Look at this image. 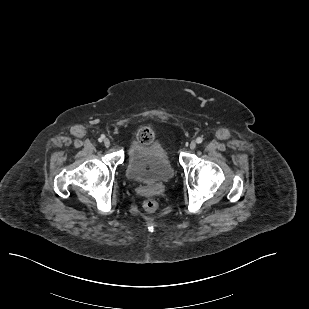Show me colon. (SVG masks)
Wrapping results in <instances>:
<instances>
[{
	"label": "colon",
	"mask_w": 309,
	"mask_h": 309,
	"mask_svg": "<svg viewBox=\"0 0 309 309\" xmlns=\"http://www.w3.org/2000/svg\"><path fill=\"white\" fill-rule=\"evenodd\" d=\"M138 137L142 142H148L152 138V133L149 129L143 128L139 131ZM143 207L147 212L153 213L157 210L158 203L154 199H147L144 201Z\"/></svg>",
	"instance_id": "5ec220e1"
}]
</instances>
